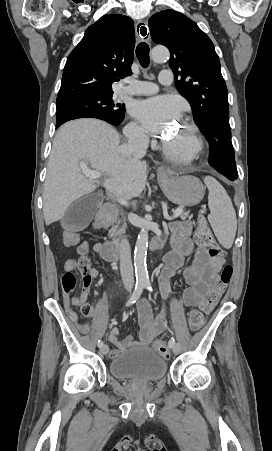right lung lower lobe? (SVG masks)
Listing matches in <instances>:
<instances>
[{
    "instance_id": "obj_1",
    "label": "right lung lower lobe",
    "mask_w": 272,
    "mask_h": 451,
    "mask_svg": "<svg viewBox=\"0 0 272 451\" xmlns=\"http://www.w3.org/2000/svg\"><path fill=\"white\" fill-rule=\"evenodd\" d=\"M78 118H87V117H75V118H72V119H69V120H73V119H78ZM90 118H93V117H90ZM98 119H100V118H98ZM69 120H66V121H63V122H60V123H56V128H58L60 125H62L63 123H65V122H67V121H69ZM101 120H103V119H101ZM106 121V120H105ZM121 123V122H120ZM119 123V124H120ZM112 124V123H111ZM113 125H118V124H113Z\"/></svg>"
}]
</instances>
